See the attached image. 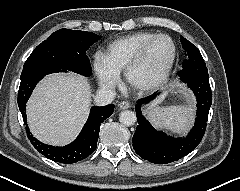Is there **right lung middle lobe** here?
<instances>
[{"mask_svg":"<svg viewBox=\"0 0 240 191\" xmlns=\"http://www.w3.org/2000/svg\"><path fill=\"white\" fill-rule=\"evenodd\" d=\"M100 38L87 31L58 30L34 49L22 72L59 68L90 76L92 68L86 51Z\"/></svg>","mask_w":240,"mask_h":191,"instance_id":"right-lung-middle-lobe-1","label":"right lung middle lobe"}]
</instances>
